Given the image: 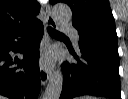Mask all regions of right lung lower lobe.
<instances>
[{
    "label": "right lung lower lobe",
    "instance_id": "obj_1",
    "mask_svg": "<svg viewBox=\"0 0 128 99\" xmlns=\"http://www.w3.org/2000/svg\"><path fill=\"white\" fill-rule=\"evenodd\" d=\"M43 31V24L35 19L0 38L1 95L11 99H37L41 89L39 44ZM10 51L21 53L23 60L11 58Z\"/></svg>",
    "mask_w": 128,
    "mask_h": 99
}]
</instances>
